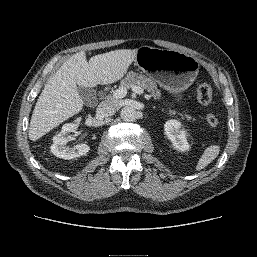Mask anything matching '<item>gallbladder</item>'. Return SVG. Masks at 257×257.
Returning <instances> with one entry per match:
<instances>
[{
    "mask_svg": "<svg viewBox=\"0 0 257 257\" xmlns=\"http://www.w3.org/2000/svg\"><path fill=\"white\" fill-rule=\"evenodd\" d=\"M78 92L85 103H89L95 98V91L92 88L79 87Z\"/></svg>",
    "mask_w": 257,
    "mask_h": 257,
    "instance_id": "1",
    "label": "gallbladder"
}]
</instances>
